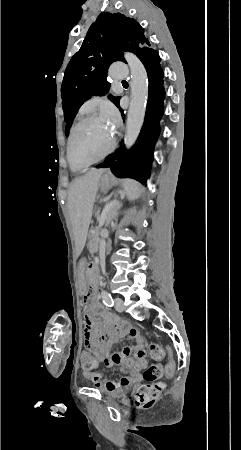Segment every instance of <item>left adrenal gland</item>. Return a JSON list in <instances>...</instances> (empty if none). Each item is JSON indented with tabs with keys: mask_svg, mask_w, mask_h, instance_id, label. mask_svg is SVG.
<instances>
[{
	"mask_svg": "<svg viewBox=\"0 0 241 450\" xmlns=\"http://www.w3.org/2000/svg\"><path fill=\"white\" fill-rule=\"evenodd\" d=\"M120 208H121V206H120ZM120 208H113V212H114L115 216H117L118 210H120ZM115 216H114V218H115Z\"/></svg>",
	"mask_w": 241,
	"mask_h": 450,
	"instance_id": "left-adrenal-gland-1",
	"label": "left adrenal gland"
}]
</instances>
